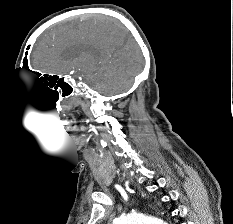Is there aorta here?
Returning a JSON list of instances; mask_svg holds the SVG:
<instances>
[{
	"label": "aorta",
	"instance_id": "aorta-1",
	"mask_svg": "<svg viewBox=\"0 0 233 224\" xmlns=\"http://www.w3.org/2000/svg\"><path fill=\"white\" fill-rule=\"evenodd\" d=\"M114 224H167L163 220L143 214H128L114 220Z\"/></svg>",
	"mask_w": 233,
	"mask_h": 224
}]
</instances>
